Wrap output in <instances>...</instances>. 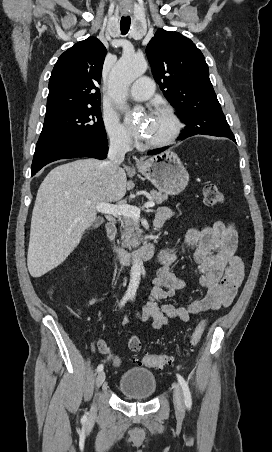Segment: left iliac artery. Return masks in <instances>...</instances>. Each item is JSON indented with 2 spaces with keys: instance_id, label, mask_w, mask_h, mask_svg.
Here are the masks:
<instances>
[{
  "instance_id": "1",
  "label": "left iliac artery",
  "mask_w": 272,
  "mask_h": 452,
  "mask_svg": "<svg viewBox=\"0 0 272 452\" xmlns=\"http://www.w3.org/2000/svg\"><path fill=\"white\" fill-rule=\"evenodd\" d=\"M177 379L183 390L185 405L188 409H190L192 406V398L188 384L180 374H177Z\"/></svg>"
}]
</instances>
